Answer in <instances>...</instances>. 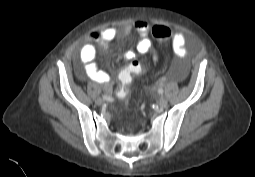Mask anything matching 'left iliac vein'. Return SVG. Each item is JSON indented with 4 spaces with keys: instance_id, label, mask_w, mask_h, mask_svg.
Masks as SVG:
<instances>
[{
    "instance_id": "left-iliac-vein-1",
    "label": "left iliac vein",
    "mask_w": 255,
    "mask_h": 177,
    "mask_svg": "<svg viewBox=\"0 0 255 177\" xmlns=\"http://www.w3.org/2000/svg\"><path fill=\"white\" fill-rule=\"evenodd\" d=\"M168 102L167 100L164 98V97H161L159 100H158V107L160 109H163L167 106Z\"/></svg>"
}]
</instances>
